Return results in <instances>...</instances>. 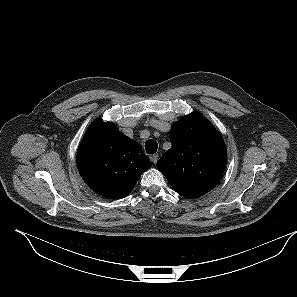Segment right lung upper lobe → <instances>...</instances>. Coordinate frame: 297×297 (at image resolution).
Returning <instances> with one entry per match:
<instances>
[{"instance_id": "1", "label": "right lung upper lobe", "mask_w": 297, "mask_h": 297, "mask_svg": "<svg viewBox=\"0 0 297 297\" xmlns=\"http://www.w3.org/2000/svg\"><path fill=\"white\" fill-rule=\"evenodd\" d=\"M77 167L87 185L112 199L126 197L151 167L141 146L122 134L113 123L94 121L77 151Z\"/></svg>"}]
</instances>
